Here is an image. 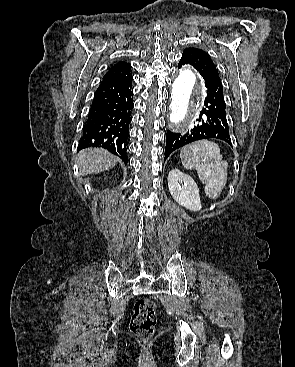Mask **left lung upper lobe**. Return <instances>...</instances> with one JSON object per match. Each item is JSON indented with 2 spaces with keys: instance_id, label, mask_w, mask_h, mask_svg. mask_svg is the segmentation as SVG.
<instances>
[{
  "instance_id": "left-lung-upper-lobe-1",
  "label": "left lung upper lobe",
  "mask_w": 295,
  "mask_h": 367,
  "mask_svg": "<svg viewBox=\"0 0 295 367\" xmlns=\"http://www.w3.org/2000/svg\"><path fill=\"white\" fill-rule=\"evenodd\" d=\"M181 59L188 61L198 71L218 75L216 65L210 56L201 49L188 47L184 50Z\"/></svg>"
}]
</instances>
